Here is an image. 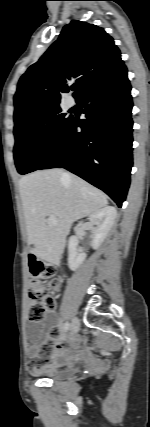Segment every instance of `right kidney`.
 Returning <instances> with one entry per match:
<instances>
[{
  "mask_svg": "<svg viewBox=\"0 0 150 427\" xmlns=\"http://www.w3.org/2000/svg\"><path fill=\"white\" fill-rule=\"evenodd\" d=\"M116 216L117 211L112 206H106L89 216V226L92 231L91 246L93 249H98L103 243ZM68 250V266L70 270L76 271L86 259V254L78 248V238L76 236L70 237Z\"/></svg>",
  "mask_w": 150,
  "mask_h": 427,
  "instance_id": "1",
  "label": "right kidney"
}]
</instances>
